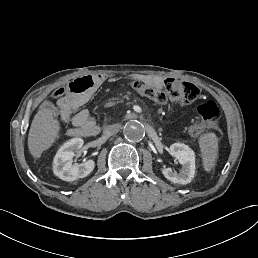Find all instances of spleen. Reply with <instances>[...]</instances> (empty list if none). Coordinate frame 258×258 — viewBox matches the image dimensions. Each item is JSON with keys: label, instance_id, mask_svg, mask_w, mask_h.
Wrapping results in <instances>:
<instances>
[{"label": "spleen", "instance_id": "obj_1", "mask_svg": "<svg viewBox=\"0 0 258 258\" xmlns=\"http://www.w3.org/2000/svg\"><path fill=\"white\" fill-rule=\"evenodd\" d=\"M200 148L203 154L204 167L210 170L214 167L215 158L218 152V139L213 133L200 137Z\"/></svg>", "mask_w": 258, "mask_h": 258}]
</instances>
